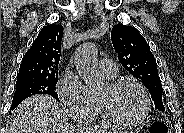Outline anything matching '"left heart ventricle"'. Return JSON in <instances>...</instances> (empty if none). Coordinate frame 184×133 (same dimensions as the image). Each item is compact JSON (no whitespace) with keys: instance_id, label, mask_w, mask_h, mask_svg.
Masks as SVG:
<instances>
[{"instance_id":"obj_1","label":"left heart ventricle","mask_w":184,"mask_h":133,"mask_svg":"<svg viewBox=\"0 0 184 133\" xmlns=\"http://www.w3.org/2000/svg\"><path fill=\"white\" fill-rule=\"evenodd\" d=\"M110 110L118 117L135 119L144 110V99L141 93L134 87H124L118 91H111L108 85L98 93Z\"/></svg>"}]
</instances>
